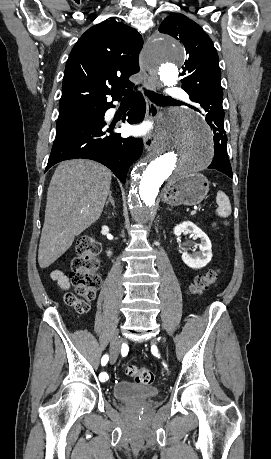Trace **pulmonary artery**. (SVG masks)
I'll return each instance as SVG.
<instances>
[{
  "mask_svg": "<svg viewBox=\"0 0 271 459\" xmlns=\"http://www.w3.org/2000/svg\"><path fill=\"white\" fill-rule=\"evenodd\" d=\"M169 95L171 98H179V101L184 104L185 106H191L195 103V100L191 97H188V92L183 89H171L168 93L166 92L165 95ZM194 107L196 109H200L202 107V104L200 102H196L194 104ZM116 109L115 108H109L105 112V118L110 119L113 114L115 113Z\"/></svg>",
  "mask_w": 271,
  "mask_h": 459,
  "instance_id": "obj_1",
  "label": "pulmonary artery"
}]
</instances>
